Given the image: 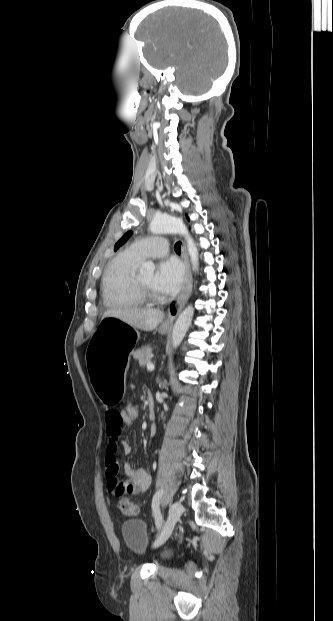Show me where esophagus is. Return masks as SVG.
<instances>
[{"label":"esophagus","mask_w":333,"mask_h":621,"mask_svg":"<svg viewBox=\"0 0 333 621\" xmlns=\"http://www.w3.org/2000/svg\"><path fill=\"white\" fill-rule=\"evenodd\" d=\"M162 180V175L161 173H159L158 182L161 183ZM182 256L186 266L185 286L180 297L170 304L168 309V315L166 320L163 322V326H170L173 323L178 313L183 309L184 305L186 304L192 290V276L185 243H183L182 245Z\"/></svg>","instance_id":"obj_1"}]
</instances>
